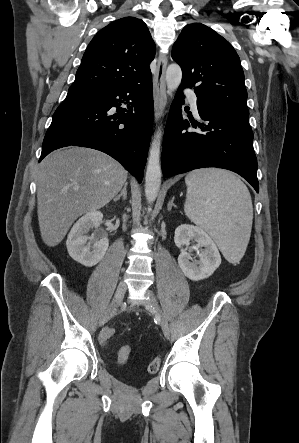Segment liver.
<instances>
[{
	"label": "liver",
	"mask_w": 299,
	"mask_h": 443,
	"mask_svg": "<svg viewBox=\"0 0 299 443\" xmlns=\"http://www.w3.org/2000/svg\"><path fill=\"white\" fill-rule=\"evenodd\" d=\"M128 172L110 156L81 147L60 149L39 165L37 214L43 242L54 247L82 214L108 204Z\"/></svg>",
	"instance_id": "liver-1"
}]
</instances>
